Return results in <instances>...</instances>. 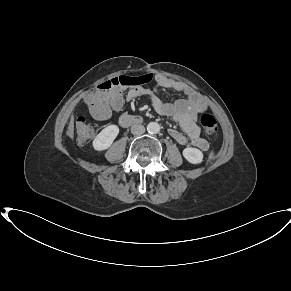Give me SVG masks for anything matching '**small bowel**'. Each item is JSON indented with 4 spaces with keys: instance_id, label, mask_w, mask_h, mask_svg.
I'll return each instance as SVG.
<instances>
[{
    "instance_id": "small-bowel-1",
    "label": "small bowel",
    "mask_w": 291,
    "mask_h": 291,
    "mask_svg": "<svg viewBox=\"0 0 291 291\" xmlns=\"http://www.w3.org/2000/svg\"><path fill=\"white\" fill-rule=\"evenodd\" d=\"M142 82L153 79L156 87L172 89L185 94V99H179L174 103H166L157 95L156 89H149L144 86H134L128 91L122 88L113 89L102 94L90 92L84 97L85 104L88 105L92 117L102 121L110 117L111 111H121L126 103L133 102L139 97L148 98L155 111L162 115L173 118L180 125L183 132L170 129L169 134L178 143L189 144L203 151L208 150V141L201 136L200 128L195 121L197 113L207 109V103L196 92L184 82L170 77L156 74L144 75Z\"/></svg>"
}]
</instances>
